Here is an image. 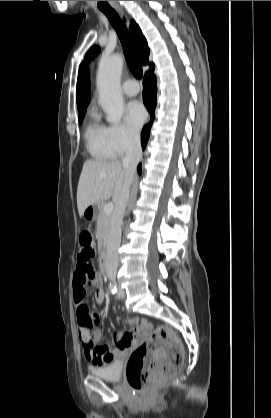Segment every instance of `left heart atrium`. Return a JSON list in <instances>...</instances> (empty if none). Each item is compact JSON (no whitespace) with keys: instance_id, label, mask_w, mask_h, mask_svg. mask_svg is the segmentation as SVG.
I'll return each mask as SVG.
<instances>
[{"instance_id":"obj_1","label":"left heart atrium","mask_w":271,"mask_h":418,"mask_svg":"<svg viewBox=\"0 0 271 418\" xmlns=\"http://www.w3.org/2000/svg\"><path fill=\"white\" fill-rule=\"evenodd\" d=\"M125 115L128 124L134 129H139L146 119L145 108L139 101L129 102L126 106Z\"/></svg>"}]
</instances>
